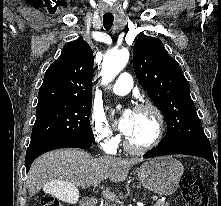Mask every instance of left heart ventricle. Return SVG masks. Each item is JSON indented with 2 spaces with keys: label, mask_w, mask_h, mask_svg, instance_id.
<instances>
[{
  "label": "left heart ventricle",
  "mask_w": 221,
  "mask_h": 206,
  "mask_svg": "<svg viewBox=\"0 0 221 206\" xmlns=\"http://www.w3.org/2000/svg\"><path fill=\"white\" fill-rule=\"evenodd\" d=\"M155 119L149 111H135L133 124L128 140L135 146H141L148 143L155 133Z\"/></svg>",
  "instance_id": "1"
}]
</instances>
